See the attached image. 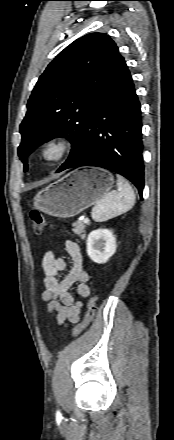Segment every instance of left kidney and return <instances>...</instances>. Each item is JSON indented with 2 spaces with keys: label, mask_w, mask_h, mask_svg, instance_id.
<instances>
[{
  "label": "left kidney",
  "mask_w": 174,
  "mask_h": 440,
  "mask_svg": "<svg viewBox=\"0 0 174 440\" xmlns=\"http://www.w3.org/2000/svg\"><path fill=\"white\" fill-rule=\"evenodd\" d=\"M116 247V238L111 230L97 229L88 235L87 254L95 263H106Z\"/></svg>",
  "instance_id": "obj_1"
}]
</instances>
